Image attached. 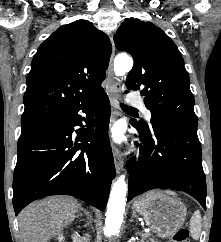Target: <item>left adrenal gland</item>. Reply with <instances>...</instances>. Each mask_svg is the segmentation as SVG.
I'll return each instance as SVG.
<instances>
[{"mask_svg":"<svg viewBox=\"0 0 221 242\" xmlns=\"http://www.w3.org/2000/svg\"><path fill=\"white\" fill-rule=\"evenodd\" d=\"M137 216H136V213L135 212H132V216H131V219H130V221L132 222L133 221V219L134 218H136Z\"/></svg>","mask_w":221,"mask_h":242,"instance_id":"a2214340","label":"left adrenal gland"}]
</instances>
